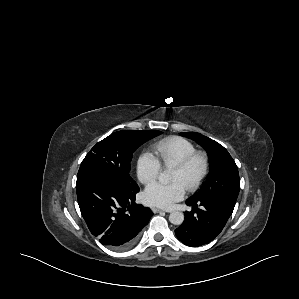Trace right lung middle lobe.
I'll return each instance as SVG.
<instances>
[{
  "instance_id": "right-lung-middle-lobe-1",
  "label": "right lung middle lobe",
  "mask_w": 299,
  "mask_h": 299,
  "mask_svg": "<svg viewBox=\"0 0 299 299\" xmlns=\"http://www.w3.org/2000/svg\"><path fill=\"white\" fill-rule=\"evenodd\" d=\"M162 134L157 130L118 131L98 142L81 163L77 177L97 173L109 177L124 188L137 189L129 175L133 152L144 142Z\"/></svg>"
}]
</instances>
